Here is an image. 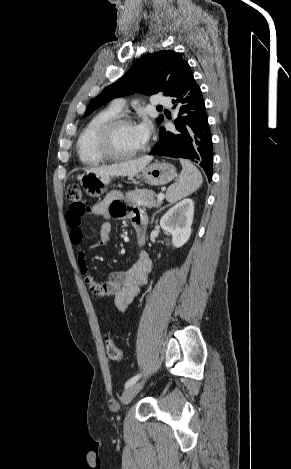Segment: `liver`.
<instances>
[{"label": "liver", "instance_id": "1", "mask_svg": "<svg viewBox=\"0 0 291 469\" xmlns=\"http://www.w3.org/2000/svg\"><path fill=\"white\" fill-rule=\"evenodd\" d=\"M153 159L152 156H143L138 159L121 162L109 166H101L86 169V173H95L107 176H135L141 172Z\"/></svg>", "mask_w": 291, "mask_h": 469}]
</instances>
